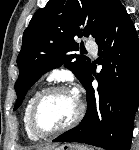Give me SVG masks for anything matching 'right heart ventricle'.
Wrapping results in <instances>:
<instances>
[{
    "label": "right heart ventricle",
    "instance_id": "1",
    "mask_svg": "<svg viewBox=\"0 0 139 150\" xmlns=\"http://www.w3.org/2000/svg\"><path fill=\"white\" fill-rule=\"evenodd\" d=\"M41 92V89L36 90L28 99L25 109H24V113H23V124H24V129L25 132L27 134V136L31 139V140H39L40 137H38L37 135H35L29 126V113H30V109L31 106L35 100V98L38 96V94Z\"/></svg>",
    "mask_w": 139,
    "mask_h": 150
}]
</instances>
